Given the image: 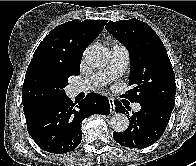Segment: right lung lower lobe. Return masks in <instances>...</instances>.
I'll use <instances>...</instances> for the list:
<instances>
[{"label": "right lung lower lobe", "instance_id": "obj_1", "mask_svg": "<svg viewBox=\"0 0 196 166\" xmlns=\"http://www.w3.org/2000/svg\"><path fill=\"white\" fill-rule=\"evenodd\" d=\"M27 129L36 144L51 153L74 150L82 140V120L92 114L110 113L108 98L95 93L73 103L60 98L24 105Z\"/></svg>", "mask_w": 196, "mask_h": 166}]
</instances>
